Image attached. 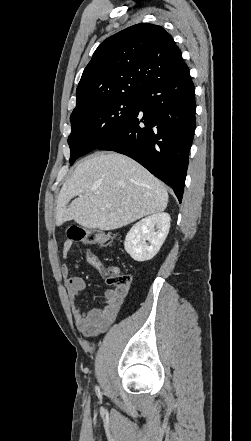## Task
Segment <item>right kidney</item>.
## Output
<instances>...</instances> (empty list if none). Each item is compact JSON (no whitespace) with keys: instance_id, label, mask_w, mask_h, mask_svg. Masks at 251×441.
Returning a JSON list of instances; mask_svg holds the SVG:
<instances>
[{"instance_id":"ca27d5eb","label":"right kidney","mask_w":251,"mask_h":441,"mask_svg":"<svg viewBox=\"0 0 251 441\" xmlns=\"http://www.w3.org/2000/svg\"><path fill=\"white\" fill-rule=\"evenodd\" d=\"M170 220L168 213L160 212L137 222L126 235V252L138 262L152 259L168 235Z\"/></svg>"}]
</instances>
